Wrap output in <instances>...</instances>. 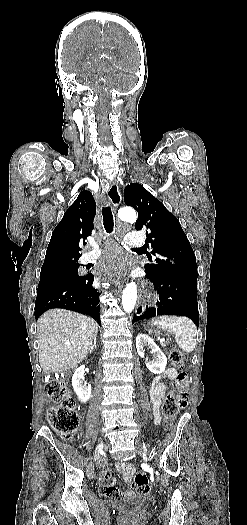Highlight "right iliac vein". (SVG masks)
Returning a JSON list of instances; mask_svg holds the SVG:
<instances>
[{"mask_svg":"<svg viewBox=\"0 0 247 525\" xmlns=\"http://www.w3.org/2000/svg\"><path fill=\"white\" fill-rule=\"evenodd\" d=\"M103 447H104V443L103 442H100L97 447H96V450H95V454H94V460L97 461V463H100V454L103 450Z\"/></svg>","mask_w":247,"mask_h":525,"instance_id":"obj_1","label":"right iliac vein"}]
</instances>
